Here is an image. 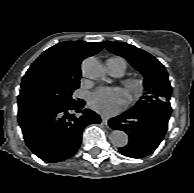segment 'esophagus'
I'll return each mask as SVG.
<instances>
[{
    "instance_id": "1",
    "label": "esophagus",
    "mask_w": 194,
    "mask_h": 193,
    "mask_svg": "<svg viewBox=\"0 0 194 193\" xmlns=\"http://www.w3.org/2000/svg\"><path fill=\"white\" fill-rule=\"evenodd\" d=\"M102 122H103V124L107 125L108 124V118L106 116H102Z\"/></svg>"
}]
</instances>
